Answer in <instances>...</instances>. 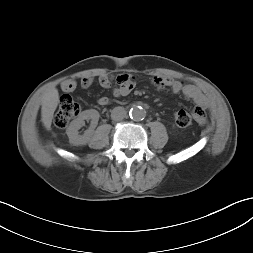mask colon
Masks as SVG:
<instances>
[{"instance_id": "obj_1", "label": "colon", "mask_w": 253, "mask_h": 253, "mask_svg": "<svg viewBox=\"0 0 253 253\" xmlns=\"http://www.w3.org/2000/svg\"><path fill=\"white\" fill-rule=\"evenodd\" d=\"M80 112V106L71 96L63 95L60 98L58 110L54 116V125L58 128H64ZM175 123L182 128L192 125L193 118L189 112L183 109L176 110L173 113Z\"/></svg>"}]
</instances>
